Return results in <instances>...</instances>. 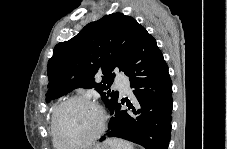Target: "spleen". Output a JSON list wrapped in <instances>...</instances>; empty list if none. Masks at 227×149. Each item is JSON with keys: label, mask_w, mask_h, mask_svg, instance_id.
<instances>
[{"label": "spleen", "mask_w": 227, "mask_h": 149, "mask_svg": "<svg viewBox=\"0 0 227 149\" xmlns=\"http://www.w3.org/2000/svg\"><path fill=\"white\" fill-rule=\"evenodd\" d=\"M106 143L110 147V149H134L133 145L130 142L123 139H109L106 141Z\"/></svg>", "instance_id": "spleen-1"}]
</instances>
